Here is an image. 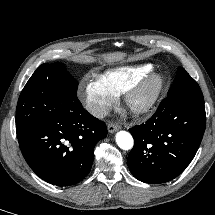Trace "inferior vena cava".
<instances>
[{"instance_id": "602c4592", "label": "inferior vena cava", "mask_w": 215, "mask_h": 215, "mask_svg": "<svg viewBox=\"0 0 215 215\" xmlns=\"http://www.w3.org/2000/svg\"><path fill=\"white\" fill-rule=\"evenodd\" d=\"M89 111L93 116L97 118H103L107 116L109 113V110L107 109V107H103V106H91L89 108Z\"/></svg>"}]
</instances>
